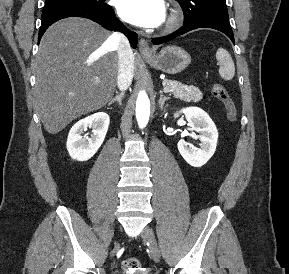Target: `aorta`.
Instances as JSON below:
<instances>
[{
  "instance_id": "762f6f07",
  "label": "aorta",
  "mask_w": 289,
  "mask_h": 274,
  "mask_svg": "<svg viewBox=\"0 0 289 274\" xmlns=\"http://www.w3.org/2000/svg\"><path fill=\"white\" fill-rule=\"evenodd\" d=\"M150 115V101L145 91H140L136 101V119L141 129L146 127Z\"/></svg>"
}]
</instances>
